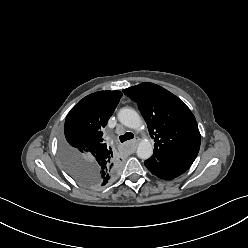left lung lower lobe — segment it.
<instances>
[{"label": "left lung lower lobe", "instance_id": "left-lung-lower-lobe-1", "mask_svg": "<svg viewBox=\"0 0 248 248\" xmlns=\"http://www.w3.org/2000/svg\"><path fill=\"white\" fill-rule=\"evenodd\" d=\"M193 161L194 160L160 162L150 157L144 164L153 175L165 180H171L187 171Z\"/></svg>", "mask_w": 248, "mask_h": 248}]
</instances>
